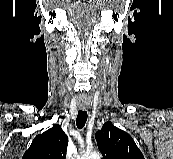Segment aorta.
<instances>
[{
    "mask_svg": "<svg viewBox=\"0 0 173 159\" xmlns=\"http://www.w3.org/2000/svg\"><path fill=\"white\" fill-rule=\"evenodd\" d=\"M79 159H100V155L97 152H87L82 154Z\"/></svg>",
    "mask_w": 173,
    "mask_h": 159,
    "instance_id": "obj_1",
    "label": "aorta"
}]
</instances>
